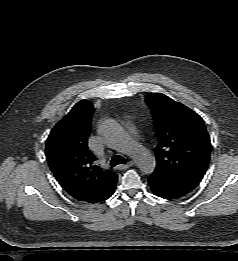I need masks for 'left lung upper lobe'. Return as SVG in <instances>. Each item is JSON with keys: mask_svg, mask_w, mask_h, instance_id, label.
Instances as JSON below:
<instances>
[{"mask_svg": "<svg viewBox=\"0 0 238 261\" xmlns=\"http://www.w3.org/2000/svg\"><path fill=\"white\" fill-rule=\"evenodd\" d=\"M149 97L159 139L151 175L188 194L209 164L212 146L205 123L196 112L162 93Z\"/></svg>", "mask_w": 238, "mask_h": 261, "instance_id": "left-lung-upper-lobe-1", "label": "left lung upper lobe"}]
</instances>
